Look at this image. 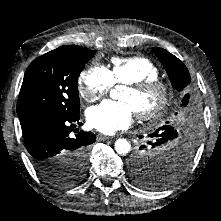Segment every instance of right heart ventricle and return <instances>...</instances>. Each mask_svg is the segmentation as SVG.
<instances>
[{
  "label": "right heart ventricle",
  "mask_w": 221,
  "mask_h": 221,
  "mask_svg": "<svg viewBox=\"0 0 221 221\" xmlns=\"http://www.w3.org/2000/svg\"><path fill=\"white\" fill-rule=\"evenodd\" d=\"M109 73L114 83L125 85L157 79L160 75L158 67L142 56L113 58Z\"/></svg>",
  "instance_id": "e07e8e85"
}]
</instances>
